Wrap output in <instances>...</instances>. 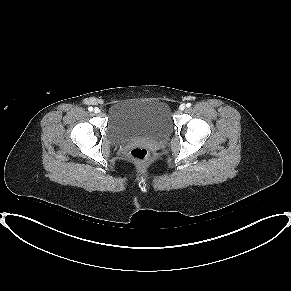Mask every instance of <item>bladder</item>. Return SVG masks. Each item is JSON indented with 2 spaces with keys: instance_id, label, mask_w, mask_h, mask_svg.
Listing matches in <instances>:
<instances>
[{
  "instance_id": "1",
  "label": "bladder",
  "mask_w": 291,
  "mask_h": 291,
  "mask_svg": "<svg viewBox=\"0 0 291 291\" xmlns=\"http://www.w3.org/2000/svg\"><path fill=\"white\" fill-rule=\"evenodd\" d=\"M173 127L170 107L159 99H132L109 106L107 135L113 143L137 136L157 137Z\"/></svg>"
}]
</instances>
